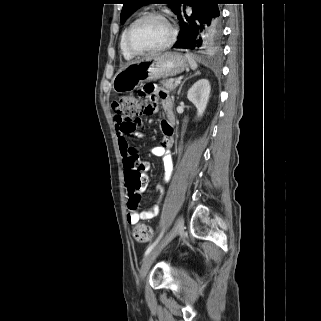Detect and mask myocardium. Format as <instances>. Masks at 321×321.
I'll use <instances>...</instances> for the list:
<instances>
[{
  "label": "myocardium",
  "mask_w": 321,
  "mask_h": 321,
  "mask_svg": "<svg viewBox=\"0 0 321 321\" xmlns=\"http://www.w3.org/2000/svg\"><path fill=\"white\" fill-rule=\"evenodd\" d=\"M150 17H156V18H160L163 21H165V23L168 25L169 30H170V35L168 40L163 43L160 46H157L155 48L149 49V50H145V51H137L135 49L132 48V46L130 45V35L132 30L134 29V27L140 23L142 20L146 19V18H150ZM177 39V29L175 27V25L173 24V22L169 19V17L160 12V11H148L145 12L143 14H141L138 18H136L127 28L126 33H125V37H124V44L125 47L127 49V51L133 55V56H144V55H149V54H154V53H158L161 51H164L168 48H170L176 41Z\"/></svg>",
  "instance_id": "1"
}]
</instances>
